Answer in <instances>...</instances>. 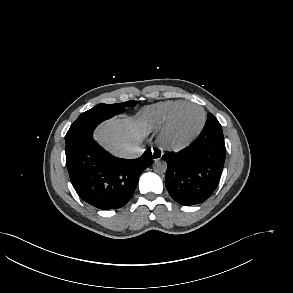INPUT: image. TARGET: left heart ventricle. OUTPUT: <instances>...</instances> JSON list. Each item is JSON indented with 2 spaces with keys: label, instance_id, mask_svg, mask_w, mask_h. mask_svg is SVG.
I'll return each instance as SVG.
<instances>
[{
  "label": "left heart ventricle",
  "instance_id": "1",
  "mask_svg": "<svg viewBox=\"0 0 293 293\" xmlns=\"http://www.w3.org/2000/svg\"><path fill=\"white\" fill-rule=\"evenodd\" d=\"M202 120L201 110L197 107H186L177 116L171 131V139L181 143L190 138L198 129Z\"/></svg>",
  "mask_w": 293,
  "mask_h": 293
}]
</instances>
